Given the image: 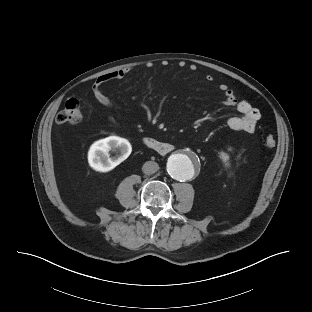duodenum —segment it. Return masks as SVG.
Here are the masks:
<instances>
[{"instance_id": "duodenum-1", "label": "duodenum", "mask_w": 312, "mask_h": 312, "mask_svg": "<svg viewBox=\"0 0 312 312\" xmlns=\"http://www.w3.org/2000/svg\"><path fill=\"white\" fill-rule=\"evenodd\" d=\"M142 142L146 147L160 154H167L174 149V146L172 144L162 142L151 137L143 138Z\"/></svg>"}]
</instances>
